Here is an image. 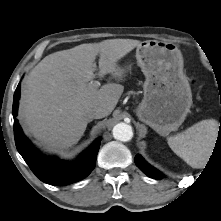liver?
Listing matches in <instances>:
<instances>
[{"instance_id":"1","label":"liver","mask_w":221,"mask_h":221,"mask_svg":"<svg viewBox=\"0 0 221 221\" xmlns=\"http://www.w3.org/2000/svg\"><path fill=\"white\" fill-rule=\"evenodd\" d=\"M141 44L133 39H109L81 44L43 58L27 76L22 90L18 118L26 133L47 149L63 151L83 136L88 108H99L98 119L111 114L124 87L108 83L100 88L94 61L99 55V75H120L117 62Z\"/></svg>"}]
</instances>
